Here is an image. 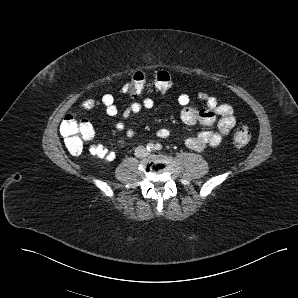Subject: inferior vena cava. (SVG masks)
<instances>
[{
  "mask_svg": "<svg viewBox=\"0 0 298 298\" xmlns=\"http://www.w3.org/2000/svg\"><path fill=\"white\" fill-rule=\"evenodd\" d=\"M135 156L138 158H143L149 155L148 150L144 146H138L134 152Z\"/></svg>",
  "mask_w": 298,
  "mask_h": 298,
  "instance_id": "obj_1",
  "label": "inferior vena cava"
}]
</instances>
